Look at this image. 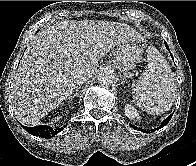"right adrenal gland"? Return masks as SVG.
I'll return each instance as SVG.
<instances>
[{"mask_svg": "<svg viewBox=\"0 0 196 166\" xmlns=\"http://www.w3.org/2000/svg\"><path fill=\"white\" fill-rule=\"evenodd\" d=\"M81 88V86H76L75 90L73 91V93L69 96V99L72 100L74 97H78L79 96V89Z\"/></svg>", "mask_w": 196, "mask_h": 166, "instance_id": "1", "label": "right adrenal gland"}]
</instances>
